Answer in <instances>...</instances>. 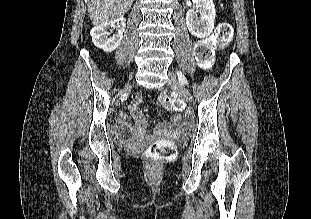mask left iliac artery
<instances>
[{"label": "left iliac artery", "mask_w": 311, "mask_h": 219, "mask_svg": "<svg viewBox=\"0 0 311 219\" xmlns=\"http://www.w3.org/2000/svg\"><path fill=\"white\" fill-rule=\"evenodd\" d=\"M178 78L181 81V83L188 85V81L186 79V77L184 76V74L181 71L177 72Z\"/></svg>", "instance_id": "left-iliac-artery-1"}]
</instances>
